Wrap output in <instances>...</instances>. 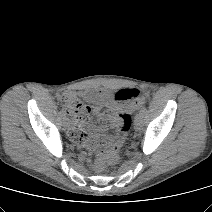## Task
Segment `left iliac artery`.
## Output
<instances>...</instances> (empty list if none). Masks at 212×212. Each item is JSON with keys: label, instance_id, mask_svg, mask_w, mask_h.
I'll list each match as a JSON object with an SVG mask.
<instances>
[{"label": "left iliac artery", "instance_id": "1", "mask_svg": "<svg viewBox=\"0 0 212 212\" xmlns=\"http://www.w3.org/2000/svg\"><path fill=\"white\" fill-rule=\"evenodd\" d=\"M141 115H144L146 113V107L142 106L139 112Z\"/></svg>", "mask_w": 212, "mask_h": 212}]
</instances>
